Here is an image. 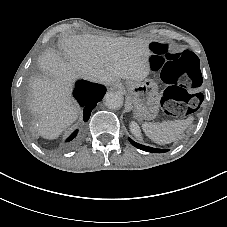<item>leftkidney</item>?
<instances>
[{
  "label": "left kidney",
  "instance_id": "5707ae66",
  "mask_svg": "<svg viewBox=\"0 0 227 227\" xmlns=\"http://www.w3.org/2000/svg\"><path fill=\"white\" fill-rule=\"evenodd\" d=\"M130 131L138 140L142 139L140 127L135 121H131Z\"/></svg>",
  "mask_w": 227,
  "mask_h": 227
}]
</instances>
